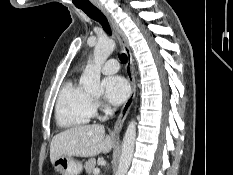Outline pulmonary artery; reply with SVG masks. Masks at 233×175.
<instances>
[{"label":"pulmonary artery","mask_w":233,"mask_h":175,"mask_svg":"<svg viewBox=\"0 0 233 175\" xmlns=\"http://www.w3.org/2000/svg\"><path fill=\"white\" fill-rule=\"evenodd\" d=\"M119 62L116 59H109L102 66V72L104 74H113L119 70Z\"/></svg>","instance_id":"pulmonary-artery-1"}]
</instances>
